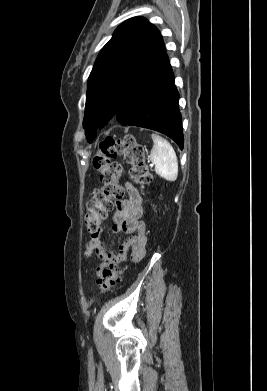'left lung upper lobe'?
<instances>
[{"label":"left lung upper lobe","instance_id":"1","mask_svg":"<svg viewBox=\"0 0 267 391\" xmlns=\"http://www.w3.org/2000/svg\"><path fill=\"white\" fill-rule=\"evenodd\" d=\"M165 54L158 29L143 17L122 23L100 51L87 84L83 126L96 136L141 77Z\"/></svg>","mask_w":267,"mask_h":391}]
</instances>
